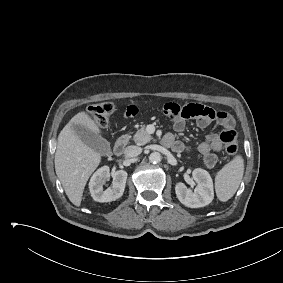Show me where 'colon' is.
<instances>
[{"label": "colon", "mask_w": 283, "mask_h": 283, "mask_svg": "<svg viewBox=\"0 0 283 283\" xmlns=\"http://www.w3.org/2000/svg\"><path fill=\"white\" fill-rule=\"evenodd\" d=\"M115 110L116 105L110 102L95 104L88 108L89 114L100 127H106L108 125L109 117ZM219 138L229 155H235L237 153L238 140L235 130L225 129L220 133Z\"/></svg>", "instance_id": "5ec220e1"}]
</instances>
